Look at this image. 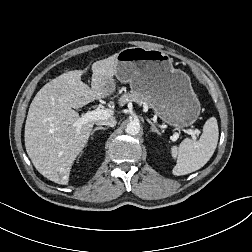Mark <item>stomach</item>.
Masks as SVG:
<instances>
[{
	"label": "stomach",
	"instance_id": "stomach-1",
	"mask_svg": "<svg viewBox=\"0 0 252 252\" xmlns=\"http://www.w3.org/2000/svg\"><path fill=\"white\" fill-rule=\"evenodd\" d=\"M172 58L161 50L129 47L116 54L115 77L129 83L149 107L175 128L192 125L201 110L189 77L175 69ZM113 92L114 79L109 84Z\"/></svg>",
	"mask_w": 252,
	"mask_h": 252
}]
</instances>
